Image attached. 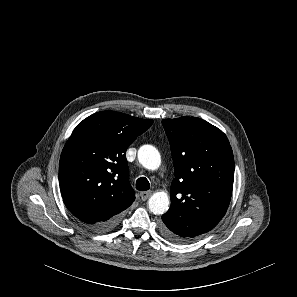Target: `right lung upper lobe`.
<instances>
[{"label":"right lung upper lobe","instance_id":"obj_1","mask_svg":"<svg viewBox=\"0 0 297 297\" xmlns=\"http://www.w3.org/2000/svg\"><path fill=\"white\" fill-rule=\"evenodd\" d=\"M152 123L102 111L73 130L61 153L59 183L66 207L87 227L121 214L135 200L125 153Z\"/></svg>","mask_w":297,"mask_h":297}]
</instances>
